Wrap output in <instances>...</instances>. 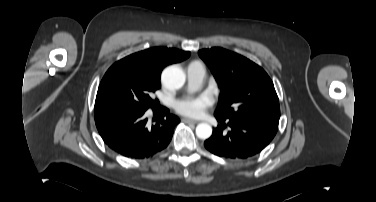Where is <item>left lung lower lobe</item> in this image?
Returning a JSON list of instances; mask_svg holds the SVG:
<instances>
[{
    "label": "left lung lower lobe",
    "instance_id": "obj_1",
    "mask_svg": "<svg viewBox=\"0 0 376 202\" xmlns=\"http://www.w3.org/2000/svg\"><path fill=\"white\" fill-rule=\"evenodd\" d=\"M215 117L221 125L213 130L204 145L211 153L230 159H246L258 154L272 141L278 129L261 120Z\"/></svg>",
    "mask_w": 376,
    "mask_h": 202
}]
</instances>
